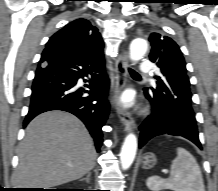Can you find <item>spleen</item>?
<instances>
[{"label": "spleen", "instance_id": "obj_1", "mask_svg": "<svg viewBox=\"0 0 218 191\" xmlns=\"http://www.w3.org/2000/svg\"><path fill=\"white\" fill-rule=\"evenodd\" d=\"M176 151L171 176L167 179L151 176L146 180V186L152 191H205L202 173L193 155L184 148H177Z\"/></svg>", "mask_w": 218, "mask_h": 191}]
</instances>
